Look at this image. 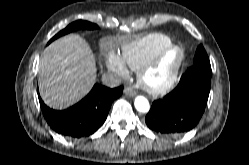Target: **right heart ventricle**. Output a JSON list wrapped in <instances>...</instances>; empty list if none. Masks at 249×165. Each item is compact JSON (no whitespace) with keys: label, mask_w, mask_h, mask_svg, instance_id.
<instances>
[{"label":"right heart ventricle","mask_w":249,"mask_h":165,"mask_svg":"<svg viewBox=\"0 0 249 165\" xmlns=\"http://www.w3.org/2000/svg\"><path fill=\"white\" fill-rule=\"evenodd\" d=\"M172 44L170 37L152 33L122 48L121 58L132 70H138L146 61L157 57Z\"/></svg>","instance_id":"e07e8e85"}]
</instances>
